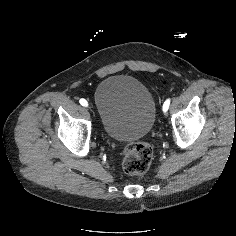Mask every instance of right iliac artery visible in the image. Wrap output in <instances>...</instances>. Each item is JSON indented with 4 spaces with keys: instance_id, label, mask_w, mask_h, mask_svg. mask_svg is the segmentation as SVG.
<instances>
[{
    "instance_id": "82829eb1",
    "label": "right iliac artery",
    "mask_w": 236,
    "mask_h": 236,
    "mask_svg": "<svg viewBox=\"0 0 236 236\" xmlns=\"http://www.w3.org/2000/svg\"><path fill=\"white\" fill-rule=\"evenodd\" d=\"M79 102H80V104L82 105V106H84V107H87L88 106V102L85 100V99H80L79 100Z\"/></svg>"
}]
</instances>
